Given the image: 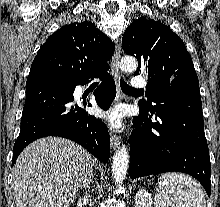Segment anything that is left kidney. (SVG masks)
<instances>
[{
	"label": "left kidney",
	"mask_w": 220,
	"mask_h": 207,
	"mask_svg": "<svg viewBox=\"0 0 220 207\" xmlns=\"http://www.w3.org/2000/svg\"><path fill=\"white\" fill-rule=\"evenodd\" d=\"M153 204L151 194L146 190H139L135 196V207H151Z\"/></svg>",
	"instance_id": "5707ae66"
}]
</instances>
